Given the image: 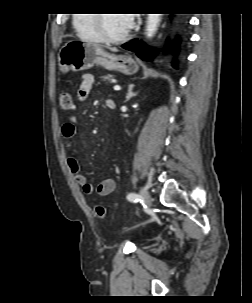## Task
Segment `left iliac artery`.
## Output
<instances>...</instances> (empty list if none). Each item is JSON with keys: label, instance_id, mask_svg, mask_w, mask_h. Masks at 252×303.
Segmentation results:
<instances>
[{"label": "left iliac artery", "instance_id": "obj_1", "mask_svg": "<svg viewBox=\"0 0 252 303\" xmlns=\"http://www.w3.org/2000/svg\"><path fill=\"white\" fill-rule=\"evenodd\" d=\"M127 199H128L129 201L135 202V203H137V202L140 201V198H139V196H138L136 193H129V194L127 195Z\"/></svg>", "mask_w": 252, "mask_h": 303}]
</instances>
